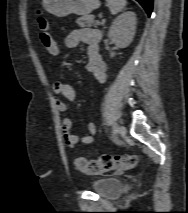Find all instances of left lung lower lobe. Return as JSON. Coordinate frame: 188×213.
<instances>
[{
	"instance_id": "0a47b994",
	"label": "left lung lower lobe",
	"mask_w": 188,
	"mask_h": 213,
	"mask_svg": "<svg viewBox=\"0 0 188 213\" xmlns=\"http://www.w3.org/2000/svg\"><path fill=\"white\" fill-rule=\"evenodd\" d=\"M137 1L143 6L147 14L150 16L153 7V0H137Z\"/></svg>"
}]
</instances>
